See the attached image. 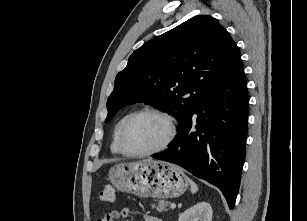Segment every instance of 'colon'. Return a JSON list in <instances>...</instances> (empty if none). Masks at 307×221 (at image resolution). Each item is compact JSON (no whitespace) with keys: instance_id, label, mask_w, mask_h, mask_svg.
I'll return each mask as SVG.
<instances>
[{"instance_id":"obj_1","label":"colon","mask_w":307,"mask_h":221,"mask_svg":"<svg viewBox=\"0 0 307 221\" xmlns=\"http://www.w3.org/2000/svg\"><path fill=\"white\" fill-rule=\"evenodd\" d=\"M98 200L104 203H114L116 201V190L112 186H105L98 194Z\"/></svg>"}]
</instances>
